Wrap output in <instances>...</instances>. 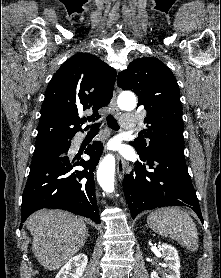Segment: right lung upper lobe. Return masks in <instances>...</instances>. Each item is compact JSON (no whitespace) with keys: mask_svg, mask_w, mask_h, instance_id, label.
<instances>
[{"mask_svg":"<svg viewBox=\"0 0 221 278\" xmlns=\"http://www.w3.org/2000/svg\"><path fill=\"white\" fill-rule=\"evenodd\" d=\"M116 75L112 67L90 53L68 59L47 86L36 145L72 138L84 122L100 117L98 110L112 98ZM85 110H92L93 115L81 118Z\"/></svg>","mask_w":221,"mask_h":278,"instance_id":"right-lung-upper-lobe-1","label":"right lung upper lobe"}]
</instances>
